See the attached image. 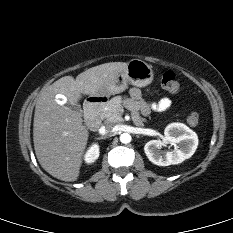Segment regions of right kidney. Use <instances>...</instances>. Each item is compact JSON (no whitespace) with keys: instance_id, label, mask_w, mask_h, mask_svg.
Returning a JSON list of instances; mask_svg holds the SVG:
<instances>
[{"instance_id":"ca27d5eb","label":"right kidney","mask_w":233,"mask_h":233,"mask_svg":"<svg viewBox=\"0 0 233 233\" xmlns=\"http://www.w3.org/2000/svg\"><path fill=\"white\" fill-rule=\"evenodd\" d=\"M99 157V146L98 144H92L85 154L86 163H93Z\"/></svg>"}]
</instances>
